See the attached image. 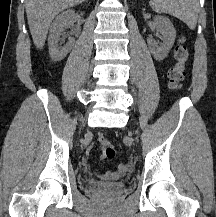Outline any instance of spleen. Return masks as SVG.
<instances>
[{"mask_svg": "<svg viewBox=\"0 0 216 217\" xmlns=\"http://www.w3.org/2000/svg\"><path fill=\"white\" fill-rule=\"evenodd\" d=\"M153 5L160 11L180 19L191 30L196 28L199 13L198 0H153Z\"/></svg>", "mask_w": 216, "mask_h": 217, "instance_id": "spleen-1", "label": "spleen"}]
</instances>
